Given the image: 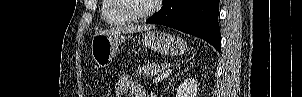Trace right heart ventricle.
Masks as SVG:
<instances>
[{"instance_id":"right-heart-ventricle-1","label":"right heart ventricle","mask_w":302,"mask_h":97,"mask_svg":"<svg viewBox=\"0 0 302 97\" xmlns=\"http://www.w3.org/2000/svg\"><path fill=\"white\" fill-rule=\"evenodd\" d=\"M101 17L109 26H123L130 22L115 5V0H103L101 8Z\"/></svg>"}]
</instances>
